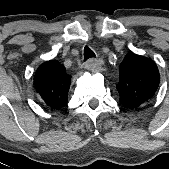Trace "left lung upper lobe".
Listing matches in <instances>:
<instances>
[{
    "label": "left lung upper lobe",
    "instance_id": "5c2ea615",
    "mask_svg": "<svg viewBox=\"0 0 169 169\" xmlns=\"http://www.w3.org/2000/svg\"><path fill=\"white\" fill-rule=\"evenodd\" d=\"M119 69L120 82L117 89L121 102L126 106L131 107L142 102L155 89L158 71L149 62L127 56Z\"/></svg>",
    "mask_w": 169,
    "mask_h": 169
}]
</instances>
